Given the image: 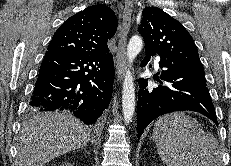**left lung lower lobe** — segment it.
<instances>
[{"mask_svg": "<svg viewBox=\"0 0 231 166\" xmlns=\"http://www.w3.org/2000/svg\"><path fill=\"white\" fill-rule=\"evenodd\" d=\"M144 67L154 55L145 49ZM159 66L163 69L157 87L148 86L147 80L139 79L137 103L138 138L144 129L157 117L175 111H195L217 124L215 109L207 88L202 65L180 64L161 58Z\"/></svg>", "mask_w": 231, "mask_h": 166, "instance_id": "obj_1", "label": "left lung lower lobe"}]
</instances>
